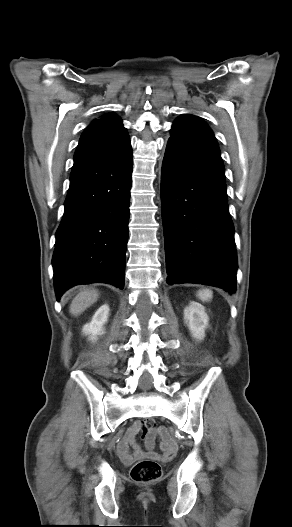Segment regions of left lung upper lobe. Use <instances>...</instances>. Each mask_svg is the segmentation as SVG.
Masks as SVG:
<instances>
[{"mask_svg": "<svg viewBox=\"0 0 292 527\" xmlns=\"http://www.w3.org/2000/svg\"><path fill=\"white\" fill-rule=\"evenodd\" d=\"M168 142L183 145L189 149L220 157V150L212 130L201 119L182 115L175 120Z\"/></svg>", "mask_w": 292, "mask_h": 527, "instance_id": "left-lung-upper-lobe-1", "label": "left lung upper lobe"}]
</instances>
